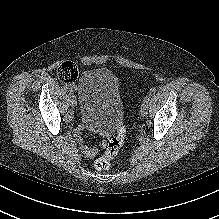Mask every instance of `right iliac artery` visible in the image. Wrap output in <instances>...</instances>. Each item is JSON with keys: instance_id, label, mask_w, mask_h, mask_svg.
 <instances>
[{"instance_id": "right-iliac-artery-1", "label": "right iliac artery", "mask_w": 219, "mask_h": 219, "mask_svg": "<svg viewBox=\"0 0 219 219\" xmlns=\"http://www.w3.org/2000/svg\"><path fill=\"white\" fill-rule=\"evenodd\" d=\"M69 94H70V95H73L72 90H69Z\"/></svg>"}]
</instances>
